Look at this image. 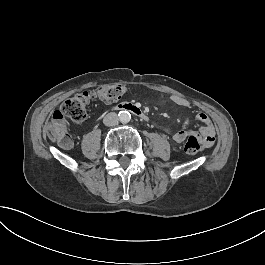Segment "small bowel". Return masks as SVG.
Returning a JSON list of instances; mask_svg holds the SVG:
<instances>
[{"label":"small bowel","mask_w":265,"mask_h":265,"mask_svg":"<svg viewBox=\"0 0 265 265\" xmlns=\"http://www.w3.org/2000/svg\"><path fill=\"white\" fill-rule=\"evenodd\" d=\"M171 101L180 107H192L189 101L178 95H172ZM192 122H198L202 124L199 132L194 130L177 131L172 135L174 144H181L188 135H191L199 138V143H202V148L211 147L214 142L215 128L208 115L205 113H198L193 118L185 119L183 123L184 125H188Z\"/></svg>","instance_id":"c3829d8e"}]
</instances>
